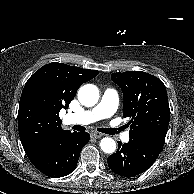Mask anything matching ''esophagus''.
Wrapping results in <instances>:
<instances>
[{
    "label": "esophagus",
    "mask_w": 194,
    "mask_h": 194,
    "mask_svg": "<svg viewBox=\"0 0 194 194\" xmlns=\"http://www.w3.org/2000/svg\"><path fill=\"white\" fill-rule=\"evenodd\" d=\"M91 135L93 138H101L103 136V134L100 132H94Z\"/></svg>",
    "instance_id": "obj_1"
}]
</instances>
